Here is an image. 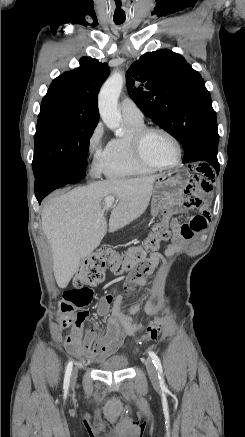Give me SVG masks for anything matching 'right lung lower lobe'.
I'll list each match as a JSON object with an SVG mask.
<instances>
[{"mask_svg":"<svg viewBox=\"0 0 245 437\" xmlns=\"http://www.w3.org/2000/svg\"><path fill=\"white\" fill-rule=\"evenodd\" d=\"M86 175L84 170H73L66 168H49L41 171L35 176V195L39 203L50 192L66 184H73L80 181Z\"/></svg>","mask_w":245,"mask_h":437,"instance_id":"right-lung-lower-lobe-1","label":"right lung lower lobe"}]
</instances>
